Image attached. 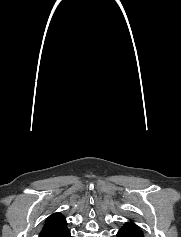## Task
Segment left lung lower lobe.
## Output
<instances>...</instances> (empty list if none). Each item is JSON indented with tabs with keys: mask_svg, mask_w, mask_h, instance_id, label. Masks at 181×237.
<instances>
[{
	"mask_svg": "<svg viewBox=\"0 0 181 237\" xmlns=\"http://www.w3.org/2000/svg\"><path fill=\"white\" fill-rule=\"evenodd\" d=\"M117 237H144V235L138 227H127L121 228Z\"/></svg>",
	"mask_w": 181,
	"mask_h": 237,
	"instance_id": "obj_1",
	"label": "left lung lower lobe"
}]
</instances>
